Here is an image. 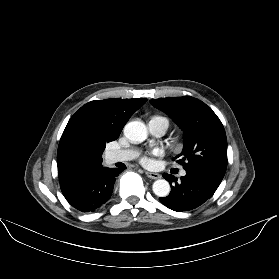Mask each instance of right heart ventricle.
I'll return each instance as SVG.
<instances>
[{
    "mask_svg": "<svg viewBox=\"0 0 279 279\" xmlns=\"http://www.w3.org/2000/svg\"><path fill=\"white\" fill-rule=\"evenodd\" d=\"M151 120H159V121H164V122L167 124V126H168V124H169V121H168V119H167V118L162 117V116H159V115H155V116H153Z\"/></svg>",
    "mask_w": 279,
    "mask_h": 279,
    "instance_id": "right-heart-ventricle-1",
    "label": "right heart ventricle"
}]
</instances>
